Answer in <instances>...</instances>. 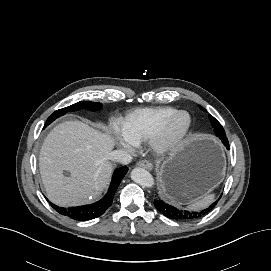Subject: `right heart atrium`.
<instances>
[{"mask_svg": "<svg viewBox=\"0 0 271 271\" xmlns=\"http://www.w3.org/2000/svg\"><path fill=\"white\" fill-rule=\"evenodd\" d=\"M113 140L115 144H117L120 147H123L127 150L132 149V145L123 135L119 134L117 130L113 131Z\"/></svg>", "mask_w": 271, "mask_h": 271, "instance_id": "right-heart-atrium-1", "label": "right heart atrium"}]
</instances>
